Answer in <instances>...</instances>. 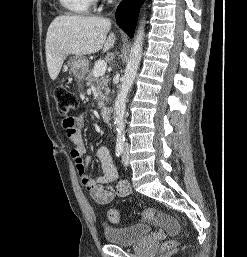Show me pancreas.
<instances>
[{
    "label": "pancreas",
    "instance_id": "pancreas-1",
    "mask_svg": "<svg viewBox=\"0 0 247 257\" xmlns=\"http://www.w3.org/2000/svg\"><path fill=\"white\" fill-rule=\"evenodd\" d=\"M87 85H95L99 94L98 107L103 108L105 102H108V94L110 92L108 88V77L101 76L100 78L94 77L93 71L88 70V75L85 78Z\"/></svg>",
    "mask_w": 247,
    "mask_h": 257
}]
</instances>
